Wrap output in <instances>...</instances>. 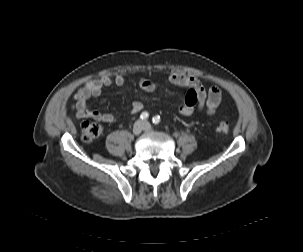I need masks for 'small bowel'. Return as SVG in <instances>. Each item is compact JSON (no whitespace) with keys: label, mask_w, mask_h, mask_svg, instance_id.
<instances>
[{"label":"small bowel","mask_w":303,"mask_h":252,"mask_svg":"<svg viewBox=\"0 0 303 252\" xmlns=\"http://www.w3.org/2000/svg\"><path fill=\"white\" fill-rule=\"evenodd\" d=\"M167 78L171 84L188 90L185 101L177 109L182 116H191L203 109H206L209 114H214L221 103L222 92L217 86H212L206 91L198 78L177 72H170ZM124 83L125 78L122 74H117L115 77L103 75L97 79L88 80L74 94L76 116L78 118H92L102 123H111L114 120V116L110 113H100L91 108L88 100L93 96L99 95L104 88L112 85L122 86ZM139 85L148 92H155L157 89V85L146 77H142L139 80ZM142 109V102L134 101L130 107V114H137Z\"/></svg>","instance_id":"1"}]
</instances>
